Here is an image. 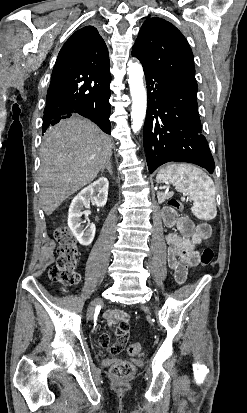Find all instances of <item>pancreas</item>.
Instances as JSON below:
<instances>
[{"mask_svg": "<svg viewBox=\"0 0 247 413\" xmlns=\"http://www.w3.org/2000/svg\"><path fill=\"white\" fill-rule=\"evenodd\" d=\"M173 192H157L158 202H164L166 198H171Z\"/></svg>", "mask_w": 247, "mask_h": 413, "instance_id": "cf45deb5", "label": "pancreas"}]
</instances>
